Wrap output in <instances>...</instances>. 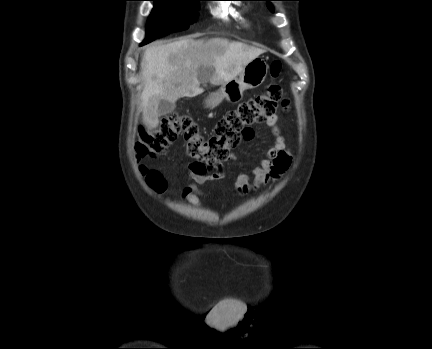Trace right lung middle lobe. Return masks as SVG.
I'll use <instances>...</instances> for the list:
<instances>
[{
    "instance_id": "dd1d6c3e",
    "label": "right lung middle lobe",
    "mask_w": 432,
    "mask_h": 349,
    "mask_svg": "<svg viewBox=\"0 0 432 349\" xmlns=\"http://www.w3.org/2000/svg\"><path fill=\"white\" fill-rule=\"evenodd\" d=\"M155 2L149 16L147 37L141 45L169 32L185 30L196 21L197 1L202 0H151Z\"/></svg>"
}]
</instances>
